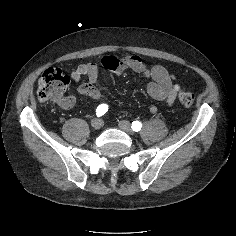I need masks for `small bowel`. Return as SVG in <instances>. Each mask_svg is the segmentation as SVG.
I'll return each instance as SVG.
<instances>
[{
	"instance_id": "c3829d8e",
	"label": "small bowel",
	"mask_w": 236,
	"mask_h": 236,
	"mask_svg": "<svg viewBox=\"0 0 236 236\" xmlns=\"http://www.w3.org/2000/svg\"><path fill=\"white\" fill-rule=\"evenodd\" d=\"M101 62L102 65L115 76H120L127 70H132L142 75L148 81L147 92L150 97L157 101H165L169 106L174 103L180 90V86L174 76L163 66L154 65L150 67L137 55H129L120 59L114 56H106L102 58ZM83 77H85L87 81L79 84L77 93L95 100L100 99L101 92L96 86L99 77L98 64L94 62L83 63L71 72V78L76 83H80ZM75 102V96H68L60 106L64 109H69L74 106ZM157 110L156 105L153 104L149 106L150 113H156Z\"/></svg>"
}]
</instances>
